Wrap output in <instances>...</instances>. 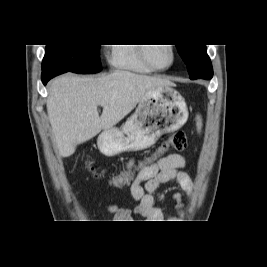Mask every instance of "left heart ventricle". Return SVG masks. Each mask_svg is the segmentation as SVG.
<instances>
[{
	"mask_svg": "<svg viewBox=\"0 0 267 267\" xmlns=\"http://www.w3.org/2000/svg\"><path fill=\"white\" fill-rule=\"evenodd\" d=\"M149 54L153 63L159 67H165L171 61V51L165 44L151 47Z\"/></svg>",
	"mask_w": 267,
	"mask_h": 267,
	"instance_id": "obj_1",
	"label": "left heart ventricle"
}]
</instances>
